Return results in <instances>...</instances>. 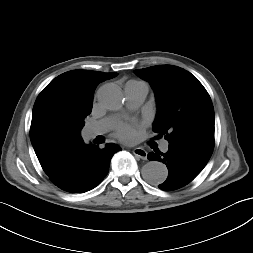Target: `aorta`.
Wrapping results in <instances>:
<instances>
[{
  "label": "aorta",
  "mask_w": 253,
  "mask_h": 253,
  "mask_svg": "<svg viewBox=\"0 0 253 253\" xmlns=\"http://www.w3.org/2000/svg\"><path fill=\"white\" fill-rule=\"evenodd\" d=\"M97 99L103 108L111 111L119 110L124 101L121 89L113 84L102 86L97 93ZM142 176L151 185L162 184L168 176L165 164L158 161H150L142 168Z\"/></svg>",
  "instance_id": "aorta-1"
}]
</instances>
